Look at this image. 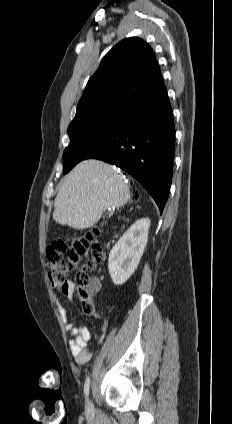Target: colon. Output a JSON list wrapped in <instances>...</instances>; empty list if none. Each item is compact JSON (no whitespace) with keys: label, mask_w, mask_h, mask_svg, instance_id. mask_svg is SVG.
I'll use <instances>...</instances> for the list:
<instances>
[{"label":"colon","mask_w":232,"mask_h":424,"mask_svg":"<svg viewBox=\"0 0 232 424\" xmlns=\"http://www.w3.org/2000/svg\"><path fill=\"white\" fill-rule=\"evenodd\" d=\"M134 196L137 198V193ZM100 235L101 229L95 227L87 234L76 237L71 242H55L48 246L46 250L49 280L60 285L66 282L67 276L76 268L81 258L91 252V259L76 275L77 295L81 301L82 309L87 315L95 313V280L89 277L88 270L92 269L96 262L103 259L102 249L95 244Z\"/></svg>","instance_id":"1"}]
</instances>
